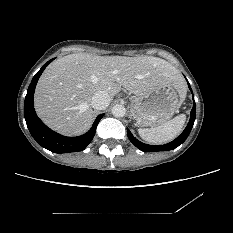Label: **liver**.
I'll return each mask as SVG.
<instances>
[{"label":"liver","mask_w":233,"mask_h":233,"mask_svg":"<svg viewBox=\"0 0 233 233\" xmlns=\"http://www.w3.org/2000/svg\"><path fill=\"white\" fill-rule=\"evenodd\" d=\"M173 85L185 95L184 80L166 60L153 56H95L76 53L51 63L35 90L37 115L53 130L68 136L85 133L93 122L91 100L98 91L112 99L123 88L135 95Z\"/></svg>","instance_id":"obj_1"}]
</instances>
